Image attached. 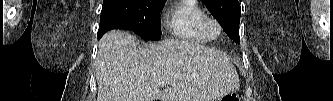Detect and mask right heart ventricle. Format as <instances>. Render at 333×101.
<instances>
[{"mask_svg":"<svg viewBox=\"0 0 333 101\" xmlns=\"http://www.w3.org/2000/svg\"><path fill=\"white\" fill-rule=\"evenodd\" d=\"M206 11L196 0H181L170 12L167 28L177 38L205 43L212 37L204 26Z\"/></svg>","mask_w":333,"mask_h":101,"instance_id":"1","label":"right heart ventricle"}]
</instances>
